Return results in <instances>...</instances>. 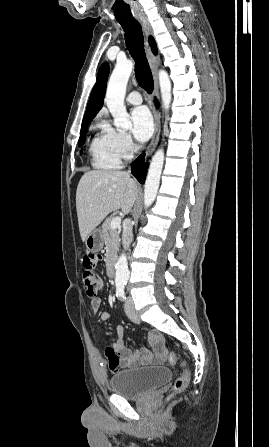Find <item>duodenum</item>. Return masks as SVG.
<instances>
[{
	"instance_id": "1",
	"label": "duodenum",
	"mask_w": 269,
	"mask_h": 447,
	"mask_svg": "<svg viewBox=\"0 0 269 447\" xmlns=\"http://www.w3.org/2000/svg\"><path fill=\"white\" fill-rule=\"evenodd\" d=\"M116 260L115 258H111L107 264V274L109 278L114 279L116 275Z\"/></svg>"
}]
</instances>
